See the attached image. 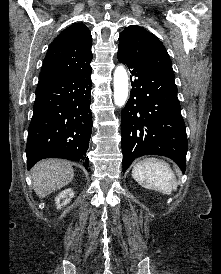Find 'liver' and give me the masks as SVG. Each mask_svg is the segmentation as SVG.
<instances>
[{
  "instance_id": "1",
  "label": "liver",
  "mask_w": 221,
  "mask_h": 274,
  "mask_svg": "<svg viewBox=\"0 0 221 274\" xmlns=\"http://www.w3.org/2000/svg\"><path fill=\"white\" fill-rule=\"evenodd\" d=\"M73 178V167L65 160H42L31 169L33 189L39 198H44L68 185Z\"/></svg>"
}]
</instances>
